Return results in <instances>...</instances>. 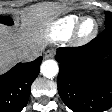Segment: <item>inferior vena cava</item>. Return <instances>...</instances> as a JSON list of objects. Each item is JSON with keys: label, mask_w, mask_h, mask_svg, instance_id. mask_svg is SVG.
<instances>
[{"label": "inferior vena cava", "mask_w": 112, "mask_h": 112, "mask_svg": "<svg viewBox=\"0 0 112 112\" xmlns=\"http://www.w3.org/2000/svg\"><path fill=\"white\" fill-rule=\"evenodd\" d=\"M39 56V50L38 49H25L19 54V59L24 62H30L35 60Z\"/></svg>", "instance_id": "602c4592"}]
</instances>
